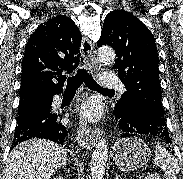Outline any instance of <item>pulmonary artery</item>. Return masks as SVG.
I'll return each instance as SVG.
<instances>
[{"mask_svg":"<svg viewBox=\"0 0 183 179\" xmlns=\"http://www.w3.org/2000/svg\"><path fill=\"white\" fill-rule=\"evenodd\" d=\"M101 83L104 87L116 88L119 89L120 91H125V86L120 81V79L113 73L110 72L104 73L101 77ZM59 100L60 98L57 96L55 98V103H58Z\"/></svg>","mask_w":183,"mask_h":179,"instance_id":"pulmonary-artery-1","label":"pulmonary artery"}]
</instances>
